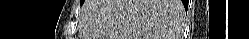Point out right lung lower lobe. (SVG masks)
<instances>
[{"mask_svg": "<svg viewBox=\"0 0 249 39\" xmlns=\"http://www.w3.org/2000/svg\"><path fill=\"white\" fill-rule=\"evenodd\" d=\"M184 6H185V8H187V3L184 1Z\"/></svg>", "mask_w": 249, "mask_h": 39, "instance_id": "1", "label": "right lung lower lobe"}]
</instances>
